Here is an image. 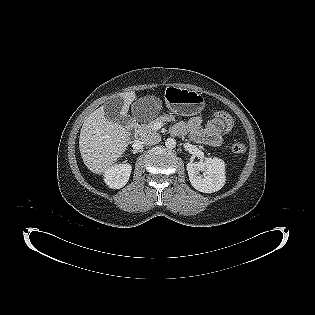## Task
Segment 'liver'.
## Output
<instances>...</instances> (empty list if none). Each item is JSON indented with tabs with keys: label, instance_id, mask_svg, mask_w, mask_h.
Instances as JSON below:
<instances>
[{
	"label": "liver",
	"instance_id": "6515ba94",
	"mask_svg": "<svg viewBox=\"0 0 315 315\" xmlns=\"http://www.w3.org/2000/svg\"><path fill=\"white\" fill-rule=\"evenodd\" d=\"M124 101L122 115H126L135 99L134 92L120 93ZM129 134L123 125L109 121L103 106L93 111L84 121L79 138V149L86 167L95 174H103L113 167L126 151Z\"/></svg>",
	"mask_w": 315,
	"mask_h": 315
}]
</instances>
